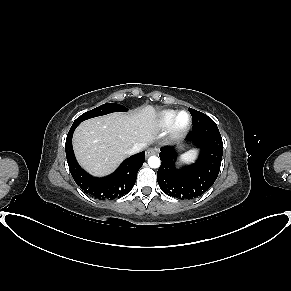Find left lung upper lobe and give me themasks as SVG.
Listing matches in <instances>:
<instances>
[{"instance_id":"1","label":"left lung upper lobe","mask_w":291,"mask_h":291,"mask_svg":"<svg viewBox=\"0 0 291 291\" xmlns=\"http://www.w3.org/2000/svg\"><path fill=\"white\" fill-rule=\"evenodd\" d=\"M188 110L193 118V128L205 127L214 122L210 117H208L202 112H199L192 108H189Z\"/></svg>"}]
</instances>
